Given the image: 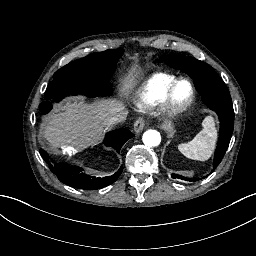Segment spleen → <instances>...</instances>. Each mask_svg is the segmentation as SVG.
<instances>
[{"label":"spleen","mask_w":256,"mask_h":256,"mask_svg":"<svg viewBox=\"0 0 256 256\" xmlns=\"http://www.w3.org/2000/svg\"><path fill=\"white\" fill-rule=\"evenodd\" d=\"M202 126L204 129L199 131L192 141L178 146L179 151L189 159L205 161L214 150L217 133L212 117H206Z\"/></svg>","instance_id":"1"}]
</instances>
